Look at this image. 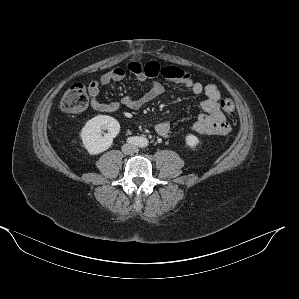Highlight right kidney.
Listing matches in <instances>:
<instances>
[{"label": "right kidney", "mask_w": 299, "mask_h": 299, "mask_svg": "<svg viewBox=\"0 0 299 299\" xmlns=\"http://www.w3.org/2000/svg\"><path fill=\"white\" fill-rule=\"evenodd\" d=\"M102 130H107V133H103ZM119 132L120 124L116 119L107 115H98L86 122L80 137L88 153L97 155L111 147L113 139Z\"/></svg>", "instance_id": "obj_1"}]
</instances>
